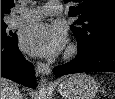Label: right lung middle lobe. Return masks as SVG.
<instances>
[{
	"mask_svg": "<svg viewBox=\"0 0 115 99\" xmlns=\"http://www.w3.org/2000/svg\"><path fill=\"white\" fill-rule=\"evenodd\" d=\"M7 25L4 22H1V42H5L13 37V35H8L6 33Z\"/></svg>",
	"mask_w": 115,
	"mask_h": 99,
	"instance_id": "1",
	"label": "right lung middle lobe"
}]
</instances>
